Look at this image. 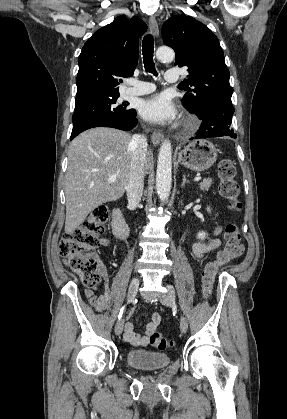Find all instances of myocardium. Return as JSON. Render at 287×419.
<instances>
[{"label": "myocardium", "mask_w": 287, "mask_h": 419, "mask_svg": "<svg viewBox=\"0 0 287 419\" xmlns=\"http://www.w3.org/2000/svg\"><path fill=\"white\" fill-rule=\"evenodd\" d=\"M188 125H189L190 128H192L194 126L192 123H189Z\"/></svg>", "instance_id": "f54148a6"}]
</instances>
